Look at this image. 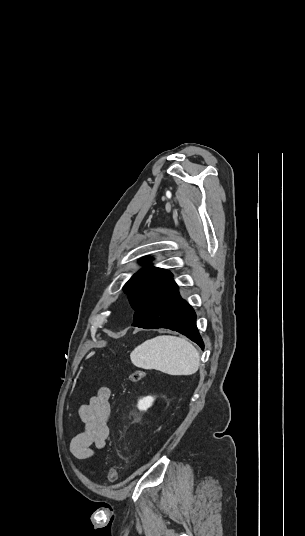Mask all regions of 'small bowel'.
<instances>
[{
  "instance_id": "obj_1",
  "label": "small bowel",
  "mask_w": 305,
  "mask_h": 536,
  "mask_svg": "<svg viewBox=\"0 0 305 536\" xmlns=\"http://www.w3.org/2000/svg\"><path fill=\"white\" fill-rule=\"evenodd\" d=\"M110 390L102 388L92 397L88 404L79 408V417L84 424L82 432L72 440L71 451L79 459L93 455L94 449H102L109 437Z\"/></svg>"
}]
</instances>
